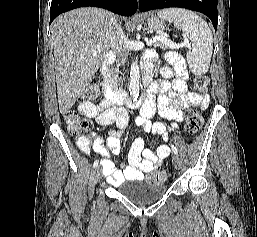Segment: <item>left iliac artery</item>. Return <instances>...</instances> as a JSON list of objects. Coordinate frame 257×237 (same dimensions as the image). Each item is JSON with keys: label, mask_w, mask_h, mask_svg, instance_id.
<instances>
[{"label": "left iliac artery", "mask_w": 257, "mask_h": 237, "mask_svg": "<svg viewBox=\"0 0 257 237\" xmlns=\"http://www.w3.org/2000/svg\"><path fill=\"white\" fill-rule=\"evenodd\" d=\"M171 149H172L174 154L178 155V150L173 144H171Z\"/></svg>", "instance_id": "left-iliac-artery-1"}]
</instances>
